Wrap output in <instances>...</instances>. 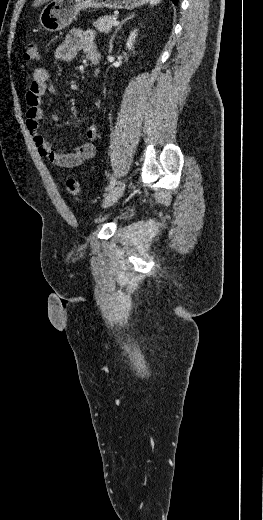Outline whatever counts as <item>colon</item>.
Returning a JSON list of instances; mask_svg holds the SVG:
<instances>
[{
  "label": "colon",
  "mask_w": 263,
  "mask_h": 520,
  "mask_svg": "<svg viewBox=\"0 0 263 520\" xmlns=\"http://www.w3.org/2000/svg\"><path fill=\"white\" fill-rule=\"evenodd\" d=\"M27 61H38L40 59L39 46L36 42H30L24 53ZM67 193L72 197H78L81 194V185L79 181L73 177H69L65 181Z\"/></svg>",
  "instance_id": "1"
}]
</instances>
